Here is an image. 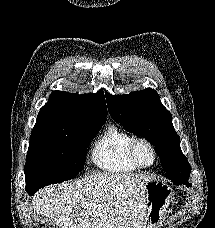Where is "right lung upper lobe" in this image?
<instances>
[{"instance_id":"1","label":"right lung upper lobe","mask_w":215,"mask_h":228,"mask_svg":"<svg viewBox=\"0 0 215 228\" xmlns=\"http://www.w3.org/2000/svg\"><path fill=\"white\" fill-rule=\"evenodd\" d=\"M106 117L102 90L82 95L54 91L49 102L40 109L32 133L69 125L105 123Z\"/></svg>"}]
</instances>
